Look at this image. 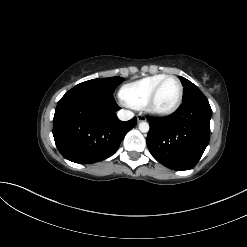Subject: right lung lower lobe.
<instances>
[{
    "label": "right lung lower lobe",
    "instance_id": "right-lung-lower-lobe-1",
    "mask_svg": "<svg viewBox=\"0 0 247 247\" xmlns=\"http://www.w3.org/2000/svg\"><path fill=\"white\" fill-rule=\"evenodd\" d=\"M111 93L96 89L69 90L58 102L53 136L61 155L75 163L90 164L114 154L137 118L123 122Z\"/></svg>",
    "mask_w": 247,
    "mask_h": 247
}]
</instances>
